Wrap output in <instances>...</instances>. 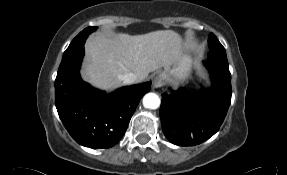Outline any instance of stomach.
I'll list each match as a JSON object with an SVG mask.
<instances>
[{
    "label": "stomach",
    "instance_id": "0dacf381",
    "mask_svg": "<svg viewBox=\"0 0 287 175\" xmlns=\"http://www.w3.org/2000/svg\"><path fill=\"white\" fill-rule=\"evenodd\" d=\"M193 60L190 55L181 53L180 58L171 67L165 68L161 76L166 82L177 83L185 81L192 68Z\"/></svg>",
    "mask_w": 287,
    "mask_h": 175
}]
</instances>
